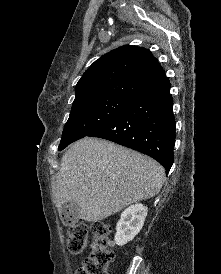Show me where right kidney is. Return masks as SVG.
Instances as JSON below:
<instances>
[{
	"instance_id": "1",
	"label": "right kidney",
	"mask_w": 221,
	"mask_h": 274,
	"mask_svg": "<svg viewBox=\"0 0 221 274\" xmlns=\"http://www.w3.org/2000/svg\"><path fill=\"white\" fill-rule=\"evenodd\" d=\"M147 207L135 204L125 209L116 226L115 243L119 246L133 240L140 232L147 216Z\"/></svg>"
}]
</instances>
